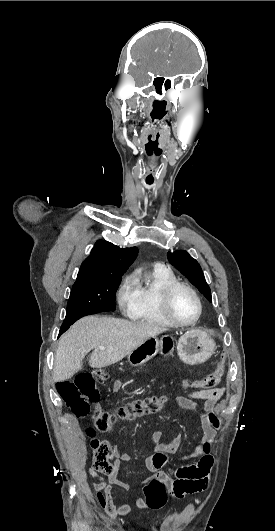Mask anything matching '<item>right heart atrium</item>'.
<instances>
[{
    "instance_id": "right-heart-atrium-1",
    "label": "right heart atrium",
    "mask_w": 275,
    "mask_h": 531,
    "mask_svg": "<svg viewBox=\"0 0 275 531\" xmlns=\"http://www.w3.org/2000/svg\"><path fill=\"white\" fill-rule=\"evenodd\" d=\"M117 297L122 312L132 316L139 303V285L134 275H127L122 279Z\"/></svg>"
}]
</instances>
